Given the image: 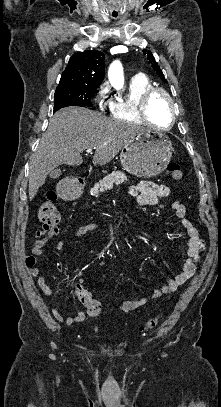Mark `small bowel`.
I'll return each mask as SVG.
<instances>
[{
	"mask_svg": "<svg viewBox=\"0 0 221 407\" xmlns=\"http://www.w3.org/2000/svg\"><path fill=\"white\" fill-rule=\"evenodd\" d=\"M129 195L135 199L139 206H156L162 199L170 195V189L165 185L145 181L131 187L129 190ZM172 208L174 209L176 216L181 220V224L188 235L186 249L187 257L182 265L181 271L174 278L169 279L164 285L158 289H155L149 295L139 300H124L121 303L116 304V307L122 312H133L139 307L145 305L151 299L159 298L163 295L172 293L179 286L190 280L196 272L197 265L200 261L201 252L204 250V240L199 229L187 218V209L185 205L179 201H175L172 203ZM96 227L97 226L95 224L82 225L74 231L73 238L83 237L89 232L95 230ZM35 238L36 241L31 249V253L25 255L24 262L28 268V273L32 277H37V284L41 291L47 297H54L56 295V291L48 283L47 279L40 275V269L37 267V259L43 254L48 238L41 237L38 235V233L35 234ZM55 247L59 251L63 250L65 247L64 241L58 240ZM49 259L53 260L54 257H50ZM54 266L59 273H64L66 271V268L62 263L56 262ZM85 282L86 277L81 276L79 277L77 283L82 286ZM28 284L32 285L31 282ZM75 295L80 301L77 289ZM52 313L58 321H61L66 325H71L75 322H82L86 318V314L84 312H77L74 316L67 317L63 316L55 309L52 310Z\"/></svg>",
	"mask_w": 221,
	"mask_h": 407,
	"instance_id": "small-bowel-1",
	"label": "small bowel"
}]
</instances>
